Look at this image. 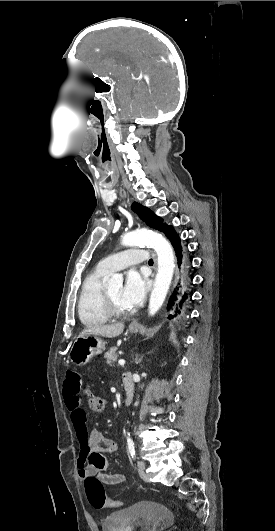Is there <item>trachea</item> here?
<instances>
[{"mask_svg": "<svg viewBox=\"0 0 275 531\" xmlns=\"http://www.w3.org/2000/svg\"><path fill=\"white\" fill-rule=\"evenodd\" d=\"M149 263H152V264H153V260H152V259H149Z\"/></svg>", "mask_w": 275, "mask_h": 531, "instance_id": "1", "label": "trachea"}]
</instances>
